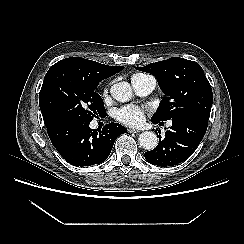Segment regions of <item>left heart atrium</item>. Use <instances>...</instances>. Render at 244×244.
Returning a JSON list of instances; mask_svg holds the SVG:
<instances>
[{"label": "left heart atrium", "mask_w": 244, "mask_h": 244, "mask_svg": "<svg viewBox=\"0 0 244 244\" xmlns=\"http://www.w3.org/2000/svg\"><path fill=\"white\" fill-rule=\"evenodd\" d=\"M114 115L119 122L132 127L140 126L145 117L144 110L133 105H127L117 109Z\"/></svg>", "instance_id": "1"}]
</instances>
